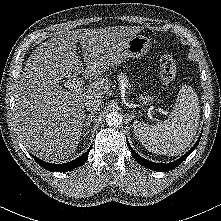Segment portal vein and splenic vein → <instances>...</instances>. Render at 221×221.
<instances>
[{
  "label": "portal vein and splenic vein",
  "mask_w": 221,
  "mask_h": 221,
  "mask_svg": "<svg viewBox=\"0 0 221 221\" xmlns=\"http://www.w3.org/2000/svg\"><path fill=\"white\" fill-rule=\"evenodd\" d=\"M84 80L83 79H73V80H68L65 82V87L71 88V87H76V88H81L83 87Z\"/></svg>",
  "instance_id": "1"
}]
</instances>
